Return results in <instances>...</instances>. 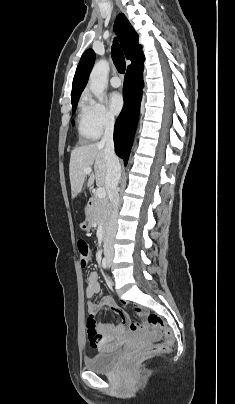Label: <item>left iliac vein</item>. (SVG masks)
Returning <instances> with one entry per match:
<instances>
[{
	"label": "left iliac vein",
	"instance_id": "4c4485c4",
	"mask_svg": "<svg viewBox=\"0 0 235 404\" xmlns=\"http://www.w3.org/2000/svg\"><path fill=\"white\" fill-rule=\"evenodd\" d=\"M108 267H111V263H108Z\"/></svg>",
	"mask_w": 235,
	"mask_h": 404
}]
</instances>
